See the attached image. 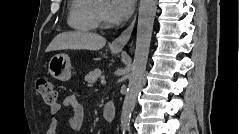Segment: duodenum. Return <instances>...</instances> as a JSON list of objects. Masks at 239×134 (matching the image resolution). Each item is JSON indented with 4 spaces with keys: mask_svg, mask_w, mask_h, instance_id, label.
I'll return each mask as SVG.
<instances>
[{
    "mask_svg": "<svg viewBox=\"0 0 239 134\" xmlns=\"http://www.w3.org/2000/svg\"><path fill=\"white\" fill-rule=\"evenodd\" d=\"M116 116L115 105L112 101H106L103 107V117L107 123L114 121Z\"/></svg>",
    "mask_w": 239,
    "mask_h": 134,
    "instance_id": "obj_1",
    "label": "duodenum"
}]
</instances>
